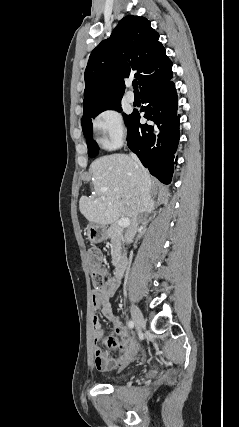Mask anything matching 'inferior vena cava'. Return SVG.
<instances>
[{
    "mask_svg": "<svg viewBox=\"0 0 239 427\" xmlns=\"http://www.w3.org/2000/svg\"><path fill=\"white\" fill-rule=\"evenodd\" d=\"M132 159L134 160L137 169L140 171L143 181L140 189V196L136 202L135 212L132 218L131 225L128 227L125 233V240L127 243L132 242L134 235L137 230L138 224L142 221L144 215L150 211V208L153 205V201L150 195V182L144 173L143 167L135 154H131Z\"/></svg>",
    "mask_w": 239,
    "mask_h": 427,
    "instance_id": "602c4592",
    "label": "inferior vena cava"
}]
</instances>
